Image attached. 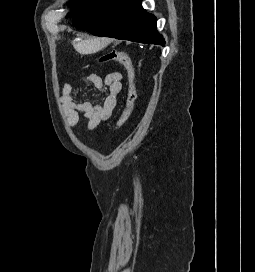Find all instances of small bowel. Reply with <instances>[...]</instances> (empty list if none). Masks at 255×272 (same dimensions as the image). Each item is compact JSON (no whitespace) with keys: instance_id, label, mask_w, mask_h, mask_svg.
<instances>
[{"instance_id":"c3829d8e","label":"small bowel","mask_w":255,"mask_h":272,"mask_svg":"<svg viewBox=\"0 0 255 272\" xmlns=\"http://www.w3.org/2000/svg\"><path fill=\"white\" fill-rule=\"evenodd\" d=\"M87 81L104 94L101 103L75 101L73 86L70 83L63 86L60 102L70 126H76L83 117L87 121L88 129L93 130L113 114L117 105V96L122 88V75L119 72H112L102 79L99 75L91 73L87 76Z\"/></svg>"}]
</instances>
